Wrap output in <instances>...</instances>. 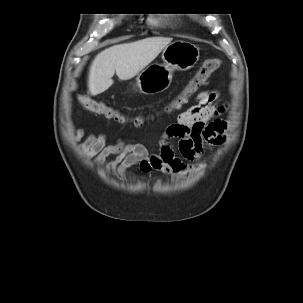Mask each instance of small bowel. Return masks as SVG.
<instances>
[{"instance_id":"c3829d8e","label":"small bowel","mask_w":303,"mask_h":303,"mask_svg":"<svg viewBox=\"0 0 303 303\" xmlns=\"http://www.w3.org/2000/svg\"><path fill=\"white\" fill-rule=\"evenodd\" d=\"M218 94L212 90L200 92L195 105L179 113L176 122L167 127L159 142V152L149 153L140 143H127L118 140L115 144H106L104 134H91L81 143V154L92 160L96 166H104L106 172L117 171L124 174L137 166L143 174L156 170L174 177L186 171L183 159L176 156L170 140H177V149L184 159L198 160L211 146L220 145L222 125L214 124L217 115ZM85 130L77 129L74 138L79 140ZM114 156V159L108 160Z\"/></svg>"}]
</instances>
